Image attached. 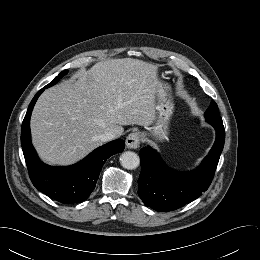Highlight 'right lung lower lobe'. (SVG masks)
<instances>
[{
    "label": "right lung lower lobe",
    "mask_w": 260,
    "mask_h": 260,
    "mask_svg": "<svg viewBox=\"0 0 260 260\" xmlns=\"http://www.w3.org/2000/svg\"><path fill=\"white\" fill-rule=\"evenodd\" d=\"M32 99L21 128V145L33 185L52 199L63 204L79 203L86 200L94 190L105 161L112 155L124 150L121 139L109 142L95 149L82 161L68 167H52L41 162L31 143L30 117L40 94Z\"/></svg>",
    "instance_id": "obj_1"
}]
</instances>
